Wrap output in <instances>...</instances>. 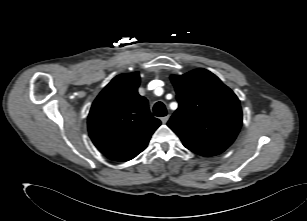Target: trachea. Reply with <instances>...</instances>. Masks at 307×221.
I'll return each mask as SVG.
<instances>
[{
  "label": "trachea",
  "instance_id": "trachea-1",
  "mask_svg": "<svg viewBox=\"0 0 307 221\" xmlns=\"http://www.w3.org/2000/svg\"><path fill=\"white\" fill-rule=\"evenodd\" d=\"M153 113L157 117L166 116L167 110L165 105L162 102H157L153 107Z\"/></svg>",
  "mask_w": 307,
  "mask_h": 221
}]
</instances>
